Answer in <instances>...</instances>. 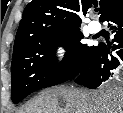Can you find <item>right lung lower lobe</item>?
Segmentation results:
<instances>
[{
  "mask_svg": "<svg viewBox=\"0 0 123 113\" xmlns=\"http://www.w3.org/2000/svg\"><path fill=\"white\" fill-rule=\"evenodd\" d=\"M101 21L110 22L115 44L112 47L103 43L95 46L89 61L75 78L76 83L91 89H97L113 75V70L123 67V0H117Z\"/></svg>",
  "mask_w": 123,
  "mask_h": 113,
  "instance_id": "98d812e1",
  "label": "right lung lower lobe"
}]
</instances>
